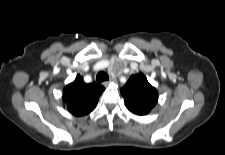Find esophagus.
Masks as SVG:
<instances>
[{
    "mask_svg": "<svg viewBox=\"0 0 225 155\" xmlns=\"http://www.w3.org/2000/svg\"><path fill=\"white\" fill-rule=\"evenodd\" d=\"M114 82H116V79H115V78H110V80H109V81H105V82L103 83V85H104V86H108L110 83H114Z\"/></svg>",
    "mask_w": 225,
    "mask_h": 155,
    "instance_id": "1",
    "label": "esophagus"
}]
</instances>
